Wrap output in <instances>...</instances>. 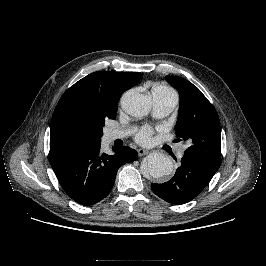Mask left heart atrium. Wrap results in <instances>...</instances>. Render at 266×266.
<instances>
[{"label":"left heart atrium","instance_id":"39dd6f15","mask_svg":"<svg viewBox=\"0 0 266 266\" xmlns=\"http://www.w3.org/2000/svg\"><path fill=\"white\" fill-rule=\"evenodd\" d=\"M152 130L149 127H145L140 130L136 136L140 143H148L151 140Z\"/></svg>","mask_w":266,"mask_h":266}]
</instances>
